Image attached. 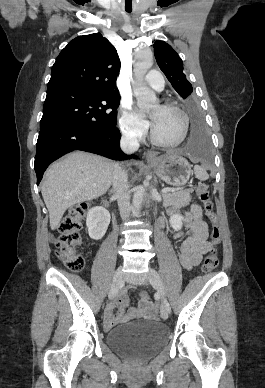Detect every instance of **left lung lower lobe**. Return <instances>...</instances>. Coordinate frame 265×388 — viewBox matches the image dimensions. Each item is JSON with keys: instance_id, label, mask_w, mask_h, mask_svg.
<instances>
[{"instance_id": "0a47b994", "label": "left lung lower lobe", "mask_w": 265, "mask_h": 388, "mask_svg": "<svg viewBox=\"0 0 265 388\" xmlns=\"http://www.w3.org/2000/svg\"><path fill=\"white\" fill-rule=\"evenodd\" d=\"M189 116L190 134L185 150L193 157L207 160L210 158L209 138L200 112L196 108L190 109Z\"/></svg>"}]
</instances>
